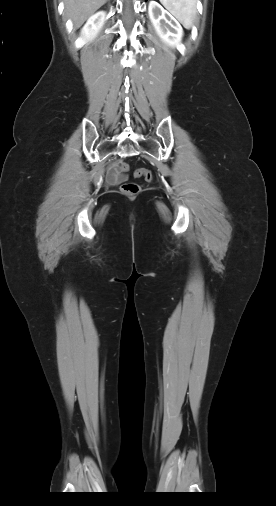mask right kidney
Wrapping results in <instances>:
<instances>
[{
  "label": "right kidney",
  "instance_id": "1",
  "mask_svg": "<svg viewBox=\"0 0 276 506\" xmlns=\"http://www.w3.org/2000/svg\"><path fill=\"white\" fill-rule=\"evenodd\" d=\"M105 16H106V13L103 11H100V12H97L96 14L92 15L88 19V21L86 22V24L84 25V27L81 30L80 41H81L82 45L95 39L99 30L101 29V27L104 24Z\"/></svg>",
  "mask_w": 276,
  "mask_h": 506
}]
</instances>
